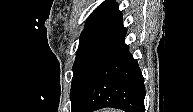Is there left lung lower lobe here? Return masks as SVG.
<instances>
[{"label":"left lung lower lobe","mask_w":193,"mask_h":112,"mask_svg":"<svg viewBox=\"0 0 193 112\" xmlns=\"http://www.w3.org/2000/svg\"><path fill=\"white\" fill-rule=\"evenodd\" d=\"M126 32L120 13L82 49L73 66L72 112H144L143 76L124 42Z\"/></svg>","instance_id":"0a47b994"}]
</instances>
